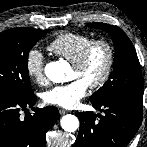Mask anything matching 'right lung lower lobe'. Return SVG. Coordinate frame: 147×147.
<instances>
[{
    "label": "right lung lower lobe",
    "instance_id": "1",
    "mask_svg": "<svg viewBox=\"0 0 147 147\" xmlns=\"http://www.w3.org/2000/svg\"><path fill=\"white\" fill-rule=\"evenodd\" d=\"M36 95L17 99L0 97V147H45L46 132L59 118L56 107L34 108ZM26 107L33 115L20 117Z\"/></svg>",
    "mask_w": 147,
    "mask_h": 147
}]
</instances>
